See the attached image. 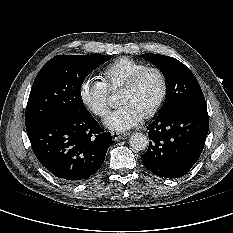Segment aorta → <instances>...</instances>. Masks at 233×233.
<instances>
[{
  "label": "aorta",
  "mask_w": 233,
  "mask_h": 233,
  "mask_svg": "<svg viewBox=\"0 0 233 233\" xmlns=\"http://www.w3.org/2000/svg\"><path fill=\"white\" fill-rule=\"evenodd\" d=\"M148 143V137L143 133H134L129 139V144L135 151L145 150L148 146Z\"/></svg>",
  "instance_id": "aorta-1"
}]
</instances>
